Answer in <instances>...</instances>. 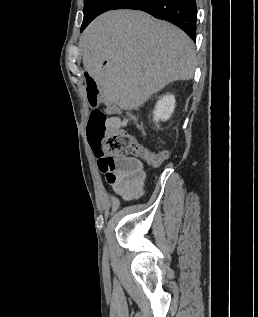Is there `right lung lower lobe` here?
Returning a JSON list of instances; mask_svg holds the SVG:
<instances>
[{
	"instance_id": "obj_1",
	"label": "right lung lower lobe",
	"mask_w": 258,
	"mask_h": 317,
	"mask_svg": "<svg viewBox=\"0 0 258 317\" xmlns=\"http://www.w3.org/2000/svg\"><path fill=\"white\" fill-rule=\"evenodd\" d=\"M112 9L145 11L175 24L196 41V0H89L84 5L81 32L95 17Z\"/></svg>"
}]
</instances>
